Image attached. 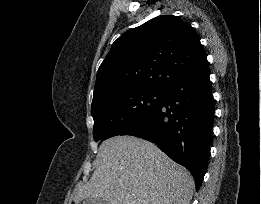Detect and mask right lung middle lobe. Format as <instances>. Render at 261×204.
Segmentation results:
<instances>
[{"instance_id": "obj_1", "label": "right lung middle lobe", "mask_w": 261, "mask_h": 204, "mask_svg": "<svg viewBox=\"0 0 261 204\" xmlns=\"http://www.w3.org/2000/svg\"><path fill=\"white\" fill-rule=\"evenodd\" d=\"M162 96L163 91L147 89L121 90L104 96L91 107L94 140L120 135L151 111Z\"/></svg>"}]
</instances>
